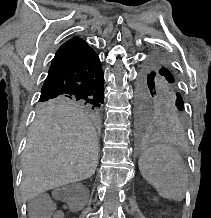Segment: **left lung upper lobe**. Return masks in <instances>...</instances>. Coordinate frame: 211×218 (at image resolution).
<instances>
[{
  "label": "left lung upper lobe",
  "mask_w": 211,
  "mask_h": 218,
  "mask_svg": "<svg viewBox=\"0 0 211 218\" xmlns=\"http://www.w3.org/2000/svg\"><path fill=\"white\" fill-rule=\"evenodd\" d=\"M141 79L138 112L142 128L152 125L181 128L185 121V110L180 85L159 53L149 54Z\"/></svg>",
  "instance_id": "5c2ea615"
}]
</instances>
